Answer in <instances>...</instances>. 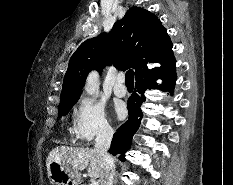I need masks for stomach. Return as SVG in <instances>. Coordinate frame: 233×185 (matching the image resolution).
<instances>
[{"label": "stomach", "mask_w": 233, "mask_h": 185, "mask_svg": "<svg viewBox=\"0 0 233 185\" xmlns=\"http://www.w3.org/2000/svg\"><path fill=\"white\" fill-rule=\"evenodd\" d=\"M48 177L53 185H79L81 175L71 167L51 162L47 168Z\"/></svg>", "instance_id": "1"}]
</instances>
